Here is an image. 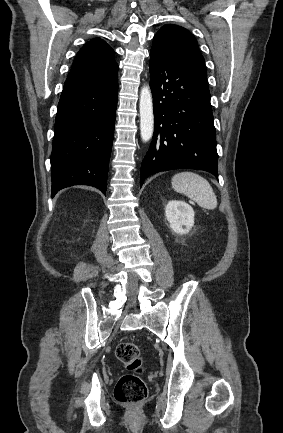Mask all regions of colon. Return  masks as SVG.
<instances>
[{"label": "colon", "mask_w": 283, "mask_h": 433, "mask_svg": "<svg viewBox=\"0 0 283 433\" xmlns=\"http://www.w3.org/2000/svg\"><path fill=\"white\" fill-rule=\"evenodd\" d=\"M118 361L128 371L116 384L114 395L117 401L135 405L147 396V388L141 377L142 356L137 345L132 342H121L115 350Z\"/></svg>", "instance_id": "1"}]
</instances>
